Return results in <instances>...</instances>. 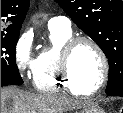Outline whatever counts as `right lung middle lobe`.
I'll return each mask as SVG.
<instances>
[{
	"label": "right lung middle lobe",
	"instance_id": "right-lung-middle-lobe-1",
	"mask_svg": "<svg viewBox=\"0 0 123 113\" xmlns=\"http://www.w3.org/2000/svg\"><path fill=\"white\" fill-rule=\"evenodd\" d=\"M19 34L1 35V87L22 85L15 59V49Z\"/></svg>",
	"mask_w": 123,
	"mask_h": 113
}]
</instances>
